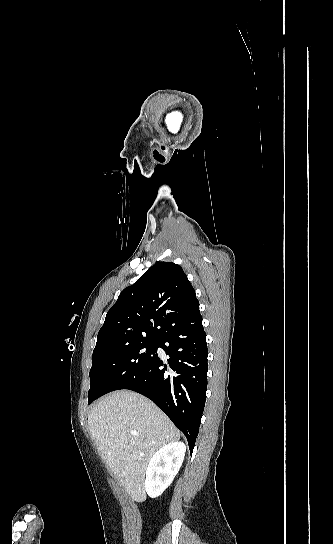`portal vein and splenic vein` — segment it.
Returning <instances> with one entry per match:
<instances>
[{
  "label": "portal vein and splenic vein",
  "instance_id": "obj_1",
  "mask_svg": "<svg viewBox=\"0 0 333 544\" xmlns=\"http://www.w3.org/2000/svg\"><path fill=\"white\" fill-rule=\"evenodd\" d=\"M131 434H132L133 436L138 435V433H137L136 431H131Z\"/></svg>",
  "mask_w": 333,
  "mask_h": 544
}]
</instances>
